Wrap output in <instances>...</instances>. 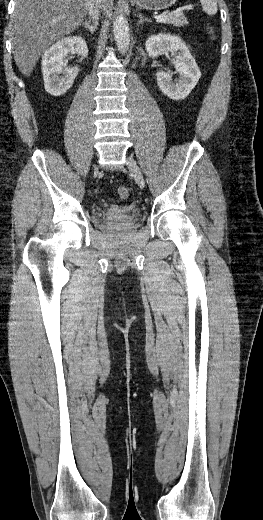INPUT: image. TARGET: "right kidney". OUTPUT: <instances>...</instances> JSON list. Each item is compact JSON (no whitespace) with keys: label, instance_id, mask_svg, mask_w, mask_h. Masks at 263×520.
I'll use <instances>...</instances> for the list:
<instances>
[{"label":"right kidney","instance_id":"right-kidney-1","mask_svg":"<svg viewBox=\"0 0 263 520\" xmlns=\"http://www.w3.org/2000/svg\"><path fill=\"white\" fill-rule=\"evenodd\" d=\"M88 55V47L81 36L66 37L58 40L42 56V73L45 90L53 96H61L70 89L79 73L78 67L64 65L67 55Z\"/></svg>","mask_w":263,"mask_h":520}]
</instances>
